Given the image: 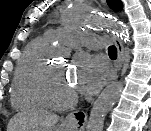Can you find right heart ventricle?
<instances>
[{"mask_svg": "<svg viewBox=\"0 0 151 131\" xmlns=\"http://www.w3.org/2000/svg\"><path fill=\"white\" fill-rule=\"evenodd\" d=\"M47 45L45 38H38L25 47L12 84L11 103L14 108L22 110L41 106L36 83L47 65L44 56Z\"/></svg>", "mask_w": 151, "mask_h": 131, "instance_id": "e07e8e85", "label": "right heart ventricle"}]
</instances>
